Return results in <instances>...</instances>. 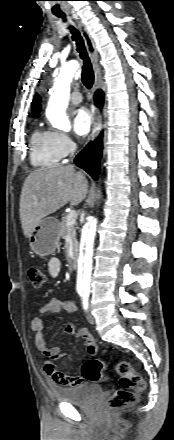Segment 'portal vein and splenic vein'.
Returning a JSON list of instances; mask_svg holds the SVG:
<instances>
[{"instance_id":"portal-vein-and-splenic-vein-1","label":"portal vein and splenic vein","mask_w":174,"mask_h":440,"mask_svg":"<svg viewBox=\"0 0 174 440\" xmlns=\"http://www.w3.org/2000/svg\"><path fill=\"white\" fill-rule=\"evenodd\" d=\"M76 218H77V212L75 210H71L67 215L66 224L72 225L73 223L76 222Z\"/></svg>"}]
</instances>
